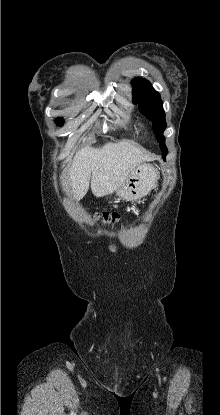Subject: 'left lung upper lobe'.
Here are the masks:
<instances>
[{
    "instance_id": "left-lung-upper-lobe-1",
    "label": "left lung upper lobe",
    "mask_w": 220,
    "mask_h": 415,
    "mask_svg": "<svg viewBox=\"0 0 220 415\" xmlns=\"http://www.w3.org/2000/svg\"><path fill=\"white\" fill-rule=\"evenodd\" d=\"M133 84V103H138L140 112L152 121L154 134L165 157L167 148L163 132L166 128V121L160 95L146 79L136 78Z\"/></svg>"
}]
</instances>
